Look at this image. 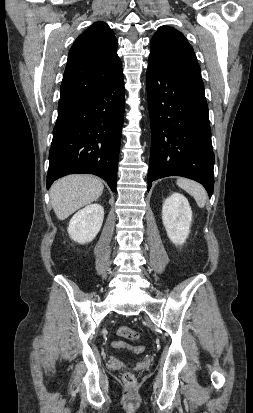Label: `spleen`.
<instances>
[{
  "label": "spleen",
  "instance_id": "spleen-1",
  "mask_svg": "<svg viewBox=\"0 0 253 413\" xmlns=\"http://www.w3.org/2000/svg\"><path fill=\"white\" fill-rule=\"evenodd\" d=\"M176 184L191 196H193L200 208H203L205 206L207 200V192L201 184L186 178H179L176 181Z\"/></svg>",
  "mask_w": 253,
  "mask_h": 413
}]
</instances>
